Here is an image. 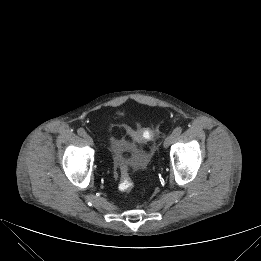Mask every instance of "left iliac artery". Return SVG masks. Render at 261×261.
Listing matches in <instances>:
<instances>
[{"label": "left iliac artery", "instance_id": "1", "mask_svg": "<svg viewBox=\"0 0 261 261\" xmlns=\"http://www.w3.org/2000/svg\"><path fill=\"white\" fill-rule=\"evenodd\" d=\"M182 127H176L172 134H174L176 137L179 136L182 133Z\"/></svg>", "mask_w": 261, "mask_h": 261}]
</instances>
